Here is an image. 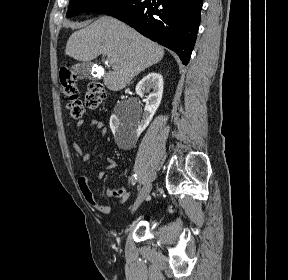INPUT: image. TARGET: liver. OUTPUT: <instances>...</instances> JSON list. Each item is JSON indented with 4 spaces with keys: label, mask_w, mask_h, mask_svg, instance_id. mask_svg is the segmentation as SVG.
<instances>
[{
    "label": "liver",
    "mask_w": 288,
    "mask_h": 280,
    "mask_svg": "<svg viewBox=\"0 0 288 280\" xmlns=\"http://www.w3.org/2000/svg\"><path fill=\"white\" fill-rule=\"evenodd\" d=\"M65 55L89 62L99 55L113 59V70L104 76L111 91H120L146 68L158 63L164 49L123 22L102 16L69 37Z\"/></svg>",
    "instance_id": "1"
}]
</instances>
